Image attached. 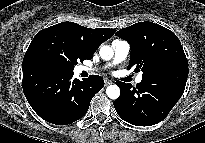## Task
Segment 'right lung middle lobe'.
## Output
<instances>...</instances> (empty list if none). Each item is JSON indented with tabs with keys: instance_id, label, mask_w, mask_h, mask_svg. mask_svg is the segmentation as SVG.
<instances>
[{
	"instance_id": "right-lung-middle-lobe-1",
	"label": "right lung middle lobe",
	"mask_w": 205,
	"mask_h": 143,
	"mask_svg": "<svg viewBox=\"0 0 205 143\" xmlns=\"http://www.w3.org/2000/svg\"><path fill=\"white\" fill-rule=\"evenodd\" d=\"M37 59L54 63L73 71L78 61L91 59L82 45L65 29L51 26L33 38L24 60Z\"/></svg>"
}]
</instances>
